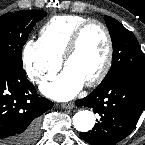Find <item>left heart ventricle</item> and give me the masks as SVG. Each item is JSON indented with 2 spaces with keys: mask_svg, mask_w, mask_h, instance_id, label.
<instances>
[{
  "mask_svg": "<svg viewBox=\"0 0 145 145\" xmlns=\"http://www.w3.org/2000/svg\"><path fill=\"white\" fill-rule=\"evenodd\" d=\"M106 52L107 40L104 31L98 25H90L83 32L78 48L66 67L73 70L85 83L100 71Z\"/></svg>",
  "mask_w": 145,
  "mask_h": 145,
  "instance_id": "obj_1",
  "label": "left heart ventricle"
}]
</instances>
